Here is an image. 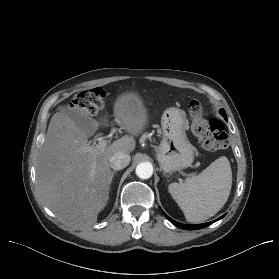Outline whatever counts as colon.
Segmentation results:
<instances>
[{
    "mask_svg": "<svg viewBox=\"0 0 279 279\" xmlns=\"http://www.w3.org/2000/svg\"><path fill=\"white\" fill-rule=\"evenodd\" d=\"M105 96L102 88L88 89L78 93L71 106L86 115H93L103 108ZM188 110L192 133L206 149L218 150L227 147L228 136L221 121L208 119L203 106L196 100L189 102Z\"/></svg>",
    "mask_w": 279,
    "mask_h": 279,
    "instance_id": "1",
    "label": "colon"
}]
</instances>
